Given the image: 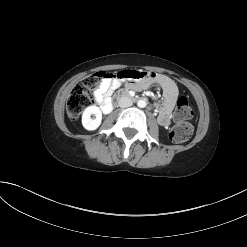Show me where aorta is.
<instances>
[{
	"instance_id": "obj_1",
	"label": "aorta",
	"mask_w": 247,
	"mask_h": 247,
	"mask_svg": "<svg viewBox=\"0 0 247 247\" xmlns=\"http://www.w3.org/2000/svg\"><path fill=\"white\" fill-rule=\"evenodd\" d=\"M137 105H138V107H140V108H144V107H146L147 102H146V100L141 99V100H139V101L137 102Z\"/></svg>"
}]
</instances>
